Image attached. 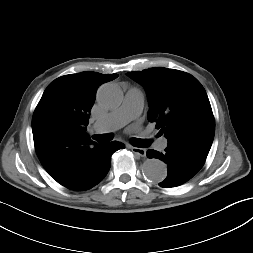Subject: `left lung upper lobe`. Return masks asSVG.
Here are the masks:
<instances>
[{
    "instance_id": "left-lung-upper-lobe-1",
    "label": "left lung upper lobe",
    "mask_w": 253,
    "mask_h": 253,
    "mask_svg": "<svg viewBox=\"0 0 253 253\" xmlns=\"http://www.w3.org/2000/svg\"><path fill=\"white\" fill-rule=\"evenodd\" d=\"M144 86L148 120L156 123L168 145L208 155L215 120L205 89L192 75L162 67L127 73Z\"/></svg>"
}]
</instances>
